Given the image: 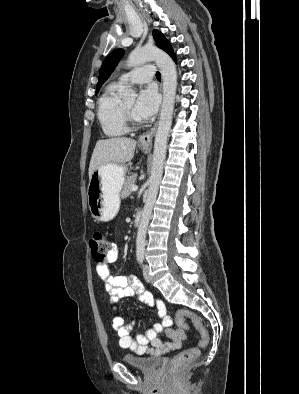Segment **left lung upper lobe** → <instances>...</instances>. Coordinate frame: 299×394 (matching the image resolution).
<instances>
[{
  "mask_svg": "<svg viewBox=\"0 0 299 394\" xmlns=\"http://www.w3.org/2000/svg\"><path fill=\"white\" fill-rule=\"evenodd\" d=\"M153 37L156 41V45L159 48L167 52L169 55L174 53L169 41L165 38V36L160 31L154 30ZM123 54L124 51L122 49H117L107 56L100 69L99 80L96 85V93L99 91L102 84L108 79L110 74L113 72L118 62L122 58Z\"/></svg>",
  "mask_w": 299,
  "mask_h": 394,
  "instance_id": "1",
  "label": "left lung upper lobe"
}]
</instances>
